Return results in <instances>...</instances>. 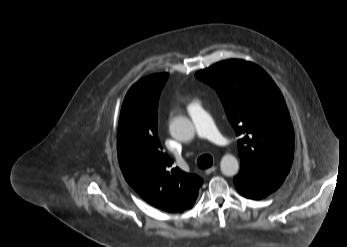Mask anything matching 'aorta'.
<instances>
[{"instance_id": "obj_1", "label": "aorta", "mask_w": 347, "mask_h": 247, "mask_svg": "<svg viewBox=\"0 0 347 247\" xmlns=\"http://www.w3.org/2000/svg\"><path fill=\"white\" fill-rule=\"evenodd\" d=\"M170 134L173 138L180 141H189L194 137V125L185 117L174 118L169 125ZM221 172L225 176H234L239 170L237 158L231 154H226L220 162Z\"/></svg>"}]
</instances>
